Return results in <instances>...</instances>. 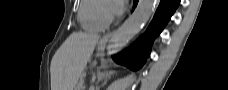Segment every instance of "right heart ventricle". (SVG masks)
I'll return each mask as SVG.
<instances>
[{
    "label": "right heart ventricle",
    "instance_id": "right-heart-ventricle-1",
    "mask_svg": "<svg viewBox=\"0 0 228 90\" xmlns=\"http://www.w3.org/2000/svg\"><path fill=\"white\" fill-rule=\"evenodd\" d=\"M106 1L103 0H83L81 1L78 19L81 26L90 32H101L107 24L101 18V6Z\"/></svg>",
    "mask_w": 228,
    "mask_h": 90
}]
</instances>
